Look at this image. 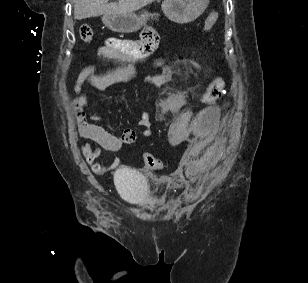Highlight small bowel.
<instances>
[{
	"label": "small bowel",
	"mask_w": 308,
	"mask_h": 283,
	"mask_svg": "<svg viewBox=\"0 0 308 283\" xmlns=\"http://www.w3.org/2000/svg\"><path fill=\"white\" fill-rule=\"evenodd\" d=\"M158 44L159 35L151 27H146L141 31L139 41L109 38L103 46L99 47L98 55L116 60L120 62V66L105 73H97L94 67H86L76 77L74 90L77 96L73 103L76 124L80 137L89 140V142L80 144V151L96 174H105L119 163L117 158L107 163L98 162L102 150L117 152L123 145L133 143L136 133L133 129L127 128L120 135H115L99 125V117L88 111V95L83 86L88 84L96 90L104 91L118 83L133 79L137 74V63L149 56ZM146 80L160 85L163 77L148 75ZM185 97V93L177 92L161 101L159 104L161 116L169 115L180 109ZM138 125L142 128V135L149 137L152 125L151 114L147 111L142 112Z\"/></svg>",
	"instance_id": "1"
}]
</instances>
